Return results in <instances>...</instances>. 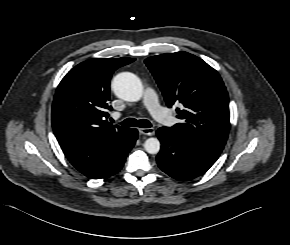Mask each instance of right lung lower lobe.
I'll return each mask as SVG.
<instances>
[{"mask_svg": "<svg viewBox=\"0 0 290 245\" xmlns=\"http://www.w3.org/2000/svg\"><path fill=\"white\" fill-rule=\"evenodd\" d=\"M137 136H138V131L136 129H133V137H132V141H131V145H130V148L129 150L127 151V153L122 157V159L114 166L112 167L109 171L105 172L104 174L94 178V179H100V178H107V177H110L114 174H116L117 172H119L121 170V168L123 167L124 165V161L126 159V156L128 154V152L132 149V147L134 146L135 144V141L137 139Z\"/></svg>", "mask_w": 290, "mask_h": 245, "instance_id": "98d812e1", "label": "right lung lower lobe"}]
</instances>
